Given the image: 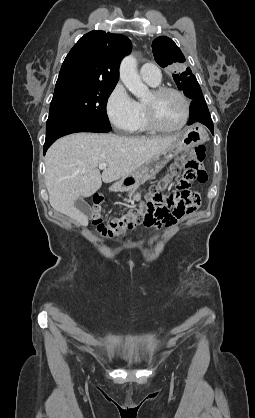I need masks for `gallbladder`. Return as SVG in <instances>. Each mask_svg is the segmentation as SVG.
<instances>
[{
  "label": "gallbladder",
  "mask_w": 255,
  "mask_h": 418,
  "mask_svg": "<svg viewBox=\"0 0 255 418\" xmlns=\"http://www.w3.org/2000/svg\"><path fill=\"white\" fill-rule=\"evenodd\" d=\"M75 206L79 209L86 217L90 218L92 216V210L89 205L86 204L83 197H79L75 201Z\"/></svg>",
  "instance_id": "bac80fb5"
}]
</instances>
